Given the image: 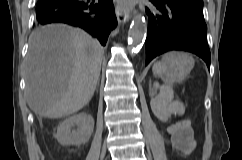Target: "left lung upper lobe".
I'll return each mask as SVG.
<instances>
[{"label":"left lung upper lobe","instance_id":"5c2ea615","mask_svg":"<svg viewBox=\"0 0 242 160\" xmlns=\"http://www.w3.org/2000/svg\"><path fill=\"white\" fill-rule=\"evenodd\" d=\"M188 1L203 7V0H188Z\"/></svg>","mask_w":242,"mask_h":160}]
</instances>
